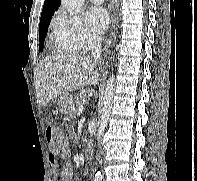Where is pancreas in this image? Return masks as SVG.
<instances>
[{"instance_id":"obj_1","label":"pancreas","mask_w":197,"mask_h":181,"mask_svg":"<svg viewBox=\"0 0 197 181\" xmlns=\"http://www.w3.org/2000/svg\"><path fill=\"white\" fill-rule=\"evenodd\" d=\"M85 96L84 92H79L75 95L74 97V101L70 107V111H69V115L71 118L75 117L78 113V108L80 106H83L82 102H81V97Z\"/></svg>"}]
</instances>
